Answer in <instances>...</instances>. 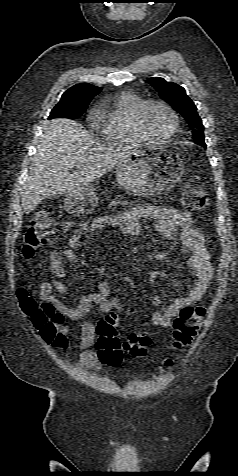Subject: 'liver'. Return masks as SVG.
I'll list each match as a JSON object with an SVG mask.
<instances>
[{
  "label": "liver",
  "instance_id": "6515ba94",
  "mask_svg": "<svg viewBox=\"0 0 238 476\" xmlns=\"http://www.w3.org/2000/svg\"><path fill=\"white\" fill-rule=\"evenodd\" d=\"M140 152L137 146L98 145L81 124L52 119L44 125L23 186V210L30 213L47 197L87 186ZM69 168L76 170L70 174Z\"/></svg>",
  "mask_w": 238,
  "mask_h": 476
}]
</instances>
